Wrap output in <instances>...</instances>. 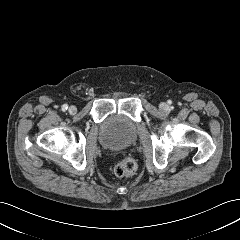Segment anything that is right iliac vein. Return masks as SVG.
Wrapping results in <instances>:
<instances>
[{"label":"right iliac vein","instance_id":"right-iliac-vein-1","mask_svg":"<svg viewBox=\"0 0 240 240\" xmlns=\"http://www.w3.org/2000/svg\"><path fill=\"white\" fill-rule=\"evenodd\" d=\"M68 111H69L70 114H75L76 111H77V108L72 105V106L69 107Z\"/></svg>","mask_w":240,"mask_h":240}]
</instances>
